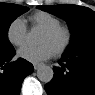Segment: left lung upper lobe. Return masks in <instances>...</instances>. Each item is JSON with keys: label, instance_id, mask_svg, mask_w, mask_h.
Returning a JSON list of instances; mask_svg holds the SVG:
<instances>
[{"label": "left lung upper lobe", "instance_id": "5c2ea615", "mask_svg": "<svg viewBox=\"0 0 95 95\" xmlns=\"http://www.w3.org/2000/svg\"><path fill=\"white\" fill-rule=\"evenodd\" d=\"M67 21L71 31V43L66 53L95 48V12L83 6L59 4L38 6Z\"/></svg>", "mask_w": 95, "mask_h": 95}]
</instances>
